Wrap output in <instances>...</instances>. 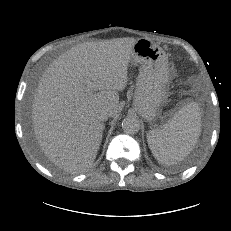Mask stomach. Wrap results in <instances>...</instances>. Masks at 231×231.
<instances>
[{
	"instance_id": "stomach-1",
	"label": "stomach",
	"mask_w": 231,
	"mask_h": 231,
	"mask_svg": "<svg viewBox=\"0 0 231 231\" xmlns=\"http://www.w3.org/2000/svg\"><path fill=\"white\" fill-rule=\"evenodd\" d=\"M130 61L140 65L133 106L143 119L152 122L168 95L170 73L165 51L146 38L133 45Z\"/></svg>"
}]
</instances>
